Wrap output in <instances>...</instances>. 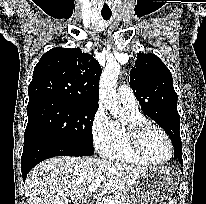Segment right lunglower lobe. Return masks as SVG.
Listing matches in <instances>:
<instances>
[{
	"instance_id": "98d812e1",
	"label": "right lung lower lobe",
	"mask_w": 206,
	"mask_h": 204,
	"mask_svg": "<svg viewBox=\"0 0 206 204\" xmlns=\"http://www.w3.org/2000/svg\"><path fill=\"white\" fill-rule=\"evenodd\" d=\"M55 156H81L70 147L50 141H34L24 146L21 157L22 177L25 181L28 172L39 162Z\"/></svg>"
}]
</instances>
